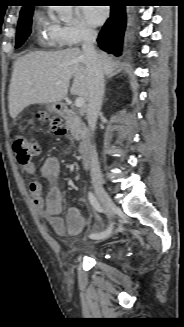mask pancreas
I'll return each mask as SVG.
<instances>
[{
    "mask_svg": "<svg viewBox=\"0 0 184 327\" xmlns=\"http://www.w3.org/2000/svg\"><path fill=\"white\" fill-rule=\"evenodd\" d=\"M66 127L76 140L83 137L84 131L82 130L80 119L73 111H71V114L67 117Z\"/></svg>",
    "mask_w": 184,
    "mask_h": 327,
    "instance_id": "1",
    "label": "pancreas"
}]
</instances>
